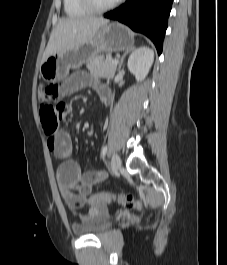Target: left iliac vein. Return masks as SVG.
<instances>
[{
  "mask_svg": "<svg viewBox=\"0 0 227 265\" xmlns=\"http://www.w3.org/2000/svg\"><path fill=\"white\" fill-rule=\"evenodd\" d=\"M121 166V159L120 156L117 153H114L112 155V160H111V172L114 174L118 171V169Z\"/></svg>",
  "mask_w": 227,
  "mask_h": 265,
  "instance_id": "left-iliac-vein-1",
  "label": "left iliac vein"
}]
</instances>
